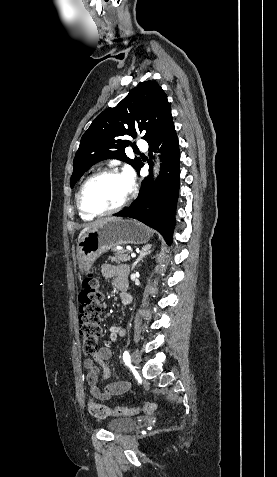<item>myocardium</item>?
I'll use <instances>...</instances> for the list:
<instances>
[{"label":"myocardium","instance_id":"f54148a6","mask_svg":"<svg viewBox=\"0 0 277 477\" xmlns=\"http://www.w3.org/2000/svg\"><path fill=\"white\" fill-rule=\"evenodd\" d=\"M106 174H116V175H123L122 172L117 169V168H114V167H109V168H104V169H101L95 173H93L91 176H89L85 181L84 183L81 185L79 191H78V194H77V206H78V209L81 213L85 214V215H89V216H93V217H98V216H105V215H109V214H113V213H116L120 210H122L123 208H125L128 203L130 202L131 200V190L128 191V194L126 195V197L122 200L121 203H119L117 206L113 207V208H110V209H107V210H103V211H92V210H89L85 207L84 203H83V194H84V191L86 189V187L88 186V184L94 180L95 178L99 177V176H102V175H106Z\"/></svg>","mask_w":277,"mask_h":477}]
</instances>
